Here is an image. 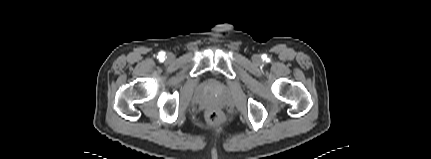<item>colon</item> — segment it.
<instances>
[{
    "label": "colon",
    "instance_id": "colon-1",
    "mask_svg": "<svg viewBox=\"0 0 431 159\" xmlns=\"http://www.w3.org/2000/svg\"><path fill=\"white\" fill-rule=\"evenodd\" d=\"M206 119L211 124H219L222 121V115L216 110H209L206 113Z\"/></svg>",
    "mask_w": 431,
    "mask_h": 159
}]
</instances>
